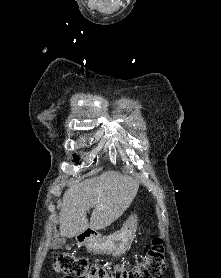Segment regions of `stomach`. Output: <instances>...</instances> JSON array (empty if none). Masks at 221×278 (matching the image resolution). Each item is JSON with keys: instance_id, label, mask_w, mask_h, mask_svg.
<instances>
[{"instance_id": "1", "label": "stomach", "mask_w": 221, "mask_h": 278, "mask_svg": "<svg viewBox=\"0 0 221 278\" xmlns=\"http://www.w3.org/2000/svg\"><path fill=\"white\" fill-rule=\"evenodd\" d=\"M138 228V218L136 214H131L123 228L105 238H99L95 234L83 236L77 241L83 244L87 250L95 253H108L120 256L126 252L132 243ZM79 239V240H78Z\"/></svg>"}]
</instances>
